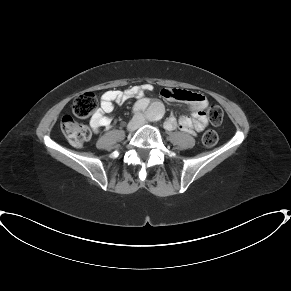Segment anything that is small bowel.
Here are the masks:
<instances>
[{"mask_svg": "<svg viewBox=\"0 0 291 291\" xmlns=\"http://www.w3.org/2000/svg\"><path fill=\"white\" fill-rule=\"evenodd\" d=\"M153 88L152 84L144 83L123 91L111 90L105 92L101 97L100 110L90 119V126L96 132L100 129H111L113 127V122L107 114L113 111L115 102L122 103L136 96L141 99L135 104V109L143 110L147 108L149 106V101L142 97L145 93L152 91ZM159 94L166 100H183L188 102L192 113V117L183 116L179 120H177L175 116L170 115L164 123L166 130L173 131L179 128L192 135H196L205 130L208 125V117L205 110L208 102L203 94L171 88H162Z\"/></svg>", "mask_w": 291, "mask_h": 291, "instance_id": "1", "label": "small bowel"}]
</instances>
